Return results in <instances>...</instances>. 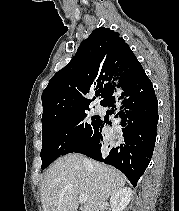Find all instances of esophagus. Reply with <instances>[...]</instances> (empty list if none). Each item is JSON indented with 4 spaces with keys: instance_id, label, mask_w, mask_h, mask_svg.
I'll list each match as a JSON object with an SVG mask.
<instances>
[{
    "instance_id": "obj_1",
    "label": "esophagus",
    "mask_w": 179,
    "mask_h": 211,
    "mask_svg": "<svg viewBox=\"0 0 179 211\" xmlns=\"http://www.w3.org/2000/svg\"><path fill=\"white\" fill-rule=\"evenodd\" d=\"M111 78L117 79L118 75L112 74ZM122 97H123L122 93H112V98H122ZM123 105H124L123 101H112V106H114L116 112H119V109H122ZM116 116H119V113H116ZM118 129H119V120L115 119L114 128L112 129L113 133H105L103 145H114V141H119L118 133H116Z\"/></svg>"
}]
</instances>
